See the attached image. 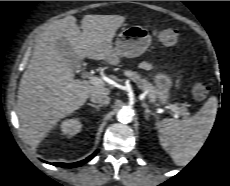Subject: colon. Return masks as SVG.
I'll return each mask as SVG.
<instances>
[{"mask_svg":"<svg viewBox=\"0 0 230 186\" xmlns=\"http://www.w3.org/2000/svg\"><path fill=\"white\" fill-rule=\"evenodd\" d=\"M155 35L159 41L166 45H174L178 41V32L173 28L160 29L155 32ZM208 87L202 82H195L192 87V96L198 101H204L208 96Z\"/></svg>","mask_w":230,"mask_h":186,"instance_id":"obj_1","label":"colon"}]
</instances>
